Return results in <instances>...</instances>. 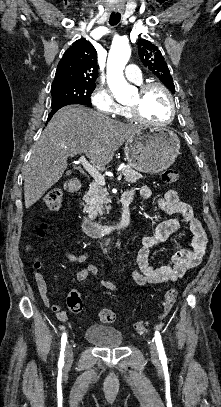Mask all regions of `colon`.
Wrapping results in <instances>:
<instances>
[{
    "label": "colon",
    "instance_id": "colon-1",
    "mask_svg": "<svg viewBox=\"0 0 221 407\" xmlns=\"http://www.w3.org/2000/svg\"><path fill=\"white\" fill-rule=\"evenodd\" d=\"M180 179V172L178 169L171 167L164 170L161 174V180L165 184H175ZM63 191L61 189H50L45 195V203L52 211H57L62 202ZM43 226L39 228V234H43ZM177 290L169 288L164 295L163 309L160 313V319H164L171 311L173 304L177 298ZM68 307L73 313H81L83 310V303L81 298L76 292H73L72 299L68 302ZM100 319L105 323H112L116 320V313L111 309H102L99 313ZM136 333L144 334L147 331V323L138 321L133 325Z\"/></svg>",
    "mask_w": 221,
    "mask_h": 407
}]
</instances>
